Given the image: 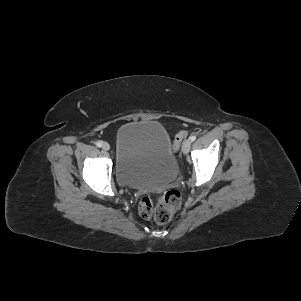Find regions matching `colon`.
<instances>
[{
	"instance_id": "5ec220e1",
	"label": "colon",
	"mask_w": 301,
	"mask_h": 301,
	"mask_svg": "<svg viewBox=\"0 0 301 301\" xmlns=\"http://www.w3.org/2000/svg\"><path fill=\"white\" fill-rule=\"evenodd\" d=\"M187 135V131H180L175 136L172 146L174 151L179 150ZM180 204L181 193L176 189H172L160 196L156 204L149 196L143 197L139 203V213L144 219L153 220L157 224H166L171 221Z\"/></svg>"
}]
</instances>
